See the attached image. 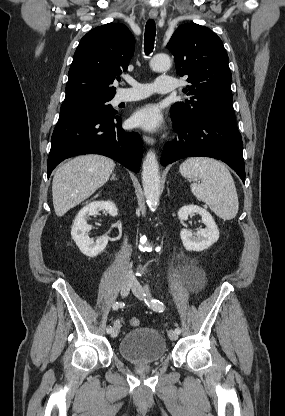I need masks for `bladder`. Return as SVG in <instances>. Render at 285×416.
I'll list each match as a JSON object with an SVG mask.
<instances>
[{"label":"bladder","mask_w":285,"mask_h":416,"mask_svg":"<svg viewBox=\"0 0 285 416\" xmlns=\"http://www.w3.org/2000/svg\"><path fill=\"white\" fill-rule=\"evenodd\" d=\"M121 360L129 363L156 364L166 358L167 347L164 335L155 328L141 326L130 329L118 342Z\"/></svg>","instance_id":"1"}]
</instances>
